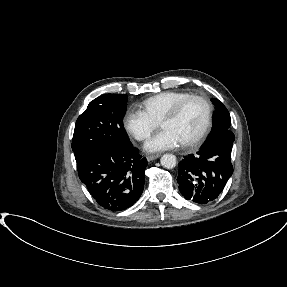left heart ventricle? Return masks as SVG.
<instances>
[{
  "instance_id": "b2bd125f",
  "label": "left heart ventricle",
  "mask_w": 287,
  "mask_h": 287,
  "mask_svg": "<svg viewBox=\"0 0 287 287\" xmlns=\"http://www.w3.org/2000/svg\"><path fill=\"white\" fill-rule=\"evenodd\" d=\"M204 115L203 104L193 100L188 102L175 118L161 120L159 126L162 129L173 130L183 143L199 132L204 121Z\"/></svg>"
}]
</instances>
